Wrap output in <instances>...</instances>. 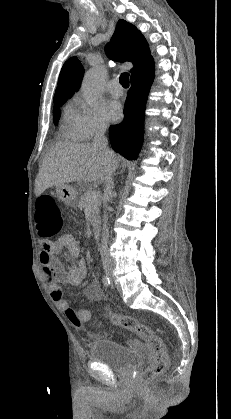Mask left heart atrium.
Returning <instances> with one entry per match:
<instances>
[{
    "label": "left heart atrium",
    "mask_w": 231,
    "mask_h": 419,
    "mask_svg": "<svg viewBox=\"0 0 231 419\" xmlns=\"http://www.w3.org/2000/svg\"><path fill=\"white\" fill-rule=\"evenodd\" d=\"M104 115L111 122L119 120L122 115L121 105L117 101H109L104 105Z\"/></svg>",
    "instance_id": "39dd6f15"
}]
</instances>
